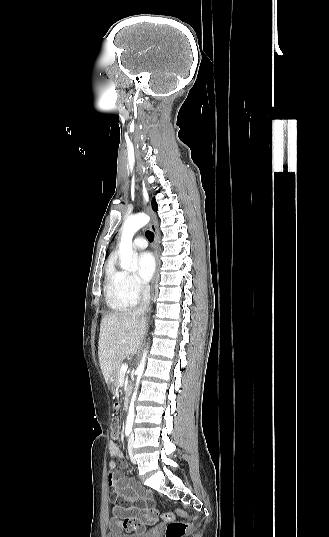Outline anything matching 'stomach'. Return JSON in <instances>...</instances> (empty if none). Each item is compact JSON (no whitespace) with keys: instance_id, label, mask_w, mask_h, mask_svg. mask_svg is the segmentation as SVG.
Here are the masks:
<instances>
[{"instance_id":"obj_1","label":"stomach","mask_w":329,"mask_h":537,"mask_svg":"<svg viewBox=\"0 0 329 537\" xmlns=\"http://www.w3.org/2000/svg\"><path fill=\"white\" fill-rule=\"evenodd\" d=\"M116 374L112 375L108 381V386L110 388H114L115 387V381H116Z\"/></svg>"}]
</instances>
